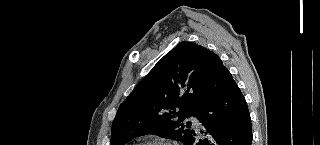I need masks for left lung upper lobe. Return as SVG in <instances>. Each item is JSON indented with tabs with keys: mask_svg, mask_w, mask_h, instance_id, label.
I'll return each mask as SVG.
<instances>
[{
	"mask_svg": "<svg viewBox=\"0 0 320 145\" xmlns=\"http://www.w3.org/2000/svg\"><path fill=\"white\" fill-rule=\"evenodd\" d=\"M220 58L194 42H181L153 67L119 107L112 125L111 145L154 134L190 139L191 122L202 103V85ZM179 109V111H176Z\"/></svg>",
	"mask_w": 320,
	"mask_h": 145,
	"instance_id": "left-lung-upper-lobe-1",
	"label": "left lung upper lobe"
}]
</instances>
